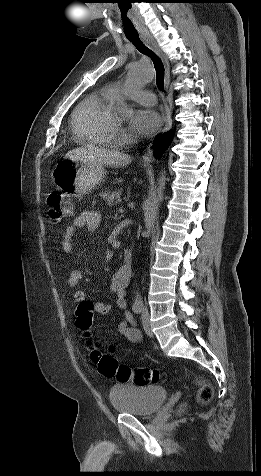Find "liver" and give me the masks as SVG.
I'll list each match as a JSON object with an SVG mask.
<instances>
[{
	"label": "liver",
	"mask_w": 261,
	"mask_h": 476,
	"mask_svg": "<svg viewBox=\"0 0 261 476\" xmlns=\"http://www.w3.org/2000/svg\"><path fill=\"white\" fill-rule=\"evenodd\" d=\"M65 158L73 161L95 162L114 168L126 166L131 162V157L127 154L106 148H99L91 144L69 151L65 155Z\"/></svg>",
	"instance_id": "1"
}]
</instances>
